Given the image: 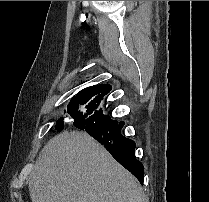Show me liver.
I'll return each instance as SVG.
<instances>
[{
    "label": "liver",
    "mask_w": 209,
    "mask_h": 202,
    "mask_svg": "<svg viewBox=\"0 0 209 202\" xmlns=\"http://www.w3.org/2000/svg\"><path fill=\"white\" fill-rule=\"evenodd\" d=\"M29 192L32 202H144L135 177L78 131H65L44 146Z\"/></svg>",
    "instance_id": "liver-1"
}]
</instances>
